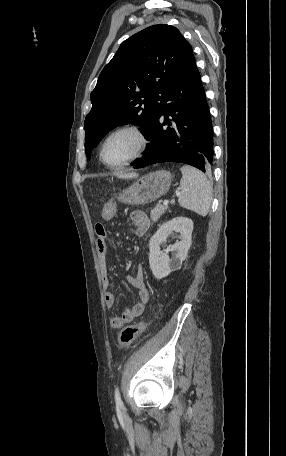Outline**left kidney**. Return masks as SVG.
I'll return each instance as SVG.
<instances>
[{"instance_id":"1","label":"left kidney","mask_w":286,"mask_h":456,"mask_svg":"<svg viewBox=\"0 0 286 456\" xmlns=\"http://www.w3.org/2000/svg\"><path fill=\"white\" fill-rule=\"evenodd\" d=\"M174 231L180 233V241L171 246L177 253L174 259H170L167 254L160 251V245ZM192 231L193 221L191 219L176 217L161 225L152 236L149 243V264L155 278L162 279L180 268L192 243Z\"/></svg>"}]
</instances>
